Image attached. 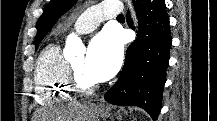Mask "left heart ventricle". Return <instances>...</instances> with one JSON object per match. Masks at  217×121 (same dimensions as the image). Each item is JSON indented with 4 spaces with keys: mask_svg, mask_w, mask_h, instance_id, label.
Returning a JSON list of instances; mask_svg holds the SVG:
<instances>
[{
    "mask_svg": "<svg viewBox=\"0 0 217 121\" xmlns=\"http://www.w3.org/2000/svg\"><path fill=\"white\" fill-rule=\"evenodd\" d=\"M71 64L73 65V67L75 68V70L77 71V73L79 74V76L88 83H92L95 82L87 73L86 71V58L85 56H82L80 58H78L77 60L71 62Z\"/></svg>",
    "mask_w": 217,
    "mask_h": 121,
    "instance_id": "1",
    "label": "left heart ventricle"
}]
</instances>
